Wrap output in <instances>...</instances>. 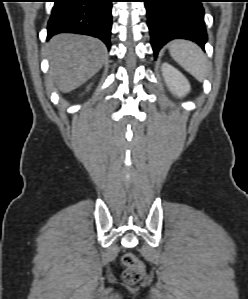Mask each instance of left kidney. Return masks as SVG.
I'll list each match as a JSON object with an SVG mask.
<instances>
[{
    "label": "left kidney",
    "mask_w": 248,
    "mask_h": 299,
    "mask_svg": "<svg viewBox=\"0 0 248 299\" xmlns=\"http://www.w3.org/2000/svg\"><path fill=\"white\" fill-rule=\"evenodd\" d=\"M162 74L169 90L178 97L185 96L190 91L186 77L168 63L162 64Z\"/></svg>",
    "instance_id": "1"
}]
</instances>
